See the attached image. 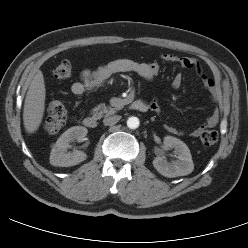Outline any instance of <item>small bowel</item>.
Masks as SVG:
<instances>
[{"label": "small bowel", "mask_w": 248, "mask_h": 248, "mask_svg": "<svg viewBox=\"0 0 248 248\" xmlns=\"http://www.w3.org/2000/svg\"><path fill=\"white\" fill-rule=\"evenodd\" d=\"M161 59L166 62L177 63L186 69L195 70L197 75L201 78L202 84L208 90L211 100L215 103L218 102L219 91L215 85V82L203 73L201 64L195 58L179 57L173 54H163ZM127 72L135 73L144 80L152 81L159 74L160 65L157 62H137L128 58L115 59L97 67L96 69H84L80 73V80L71 85V92L78 96L82 95L85 92L98 87L113 75ZM182 82V74H176L171 83L172 88L179 89ZM150 108L153 111H159V106L155 99L150 101ZM219 116L220 111L219 109H216L203 124L191 132V135L198 137L207 128L216 126L219 122ZM165 129L172 134H183L177 128L170 125H165Z\"/></svg>", "instance_id": "small-bowel-1"}]
</instances>
